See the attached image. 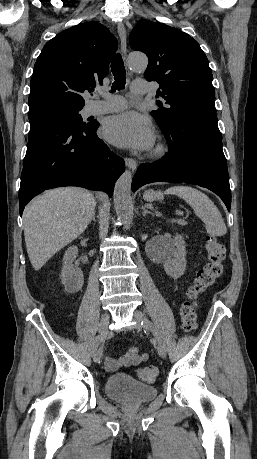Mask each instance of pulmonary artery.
<instances>
[{"label": "pulmonary artery", "instance_id": "e3ab8cb5", "mask_svg": "<svg viewBox=\"0 0 257 459\" xmlns=\"http://www.w3.org/2000/svg\"><path fill=\"white\" fill-rule=\"evenodd\" d=\"M135 96L143 95L149 92V87L145 80H134L131 88ZM126 100L118 95H106L103 100H95L88 104L87 113L89 115L110 113L122 110L126 107Z\"/></svg>", "mask_w": 257, "mask_h": 459}]
</instances>
